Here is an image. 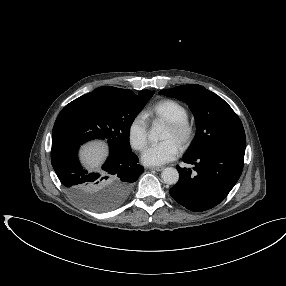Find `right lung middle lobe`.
I'll return each mask as SVG.
<instances>
[{
	"label": "right lung middle lobe",
	"mask_w": 286,
	"mask_h": 286,
	"mask_svg": "<svg viewBox=\"0 0 286 286\" xmlns=\"http://www.w3.org/2000/svg\"><path fill=\"white\" fill-rule=\"evenodd\" d=\"M153 94L150 90L136 95L128 89L99 87L66 105L55 123L69 128L82 139H108L110 147L130 149V126ZM100 200L92 196L81 203L95 211L113 207Z\"/></svg>",
	"instance_id": "obj_1"
}]
</instances>
